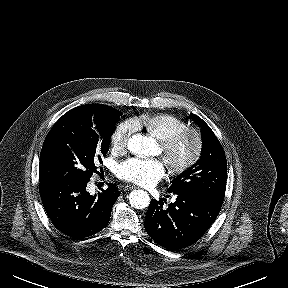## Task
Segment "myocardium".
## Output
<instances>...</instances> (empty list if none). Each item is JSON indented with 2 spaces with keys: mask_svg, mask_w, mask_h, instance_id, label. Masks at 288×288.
<instances>
[{
  "mask_svg": "<svg viewBox=\"0 0 288 288\" xmlns=\"http://www.w3.org/2000/svg\"><path fill=\"white\" fill-rule=\"evenodd\" d=\"M190 137L193 139V149L190 155L185 159L175 157V148L178 143ZM162 154L169 170L173 174H180L191 168L199 160L203 150V137L201 132L192 126H185L166 137L160 139Z\"/></svg>",
  "mask_w": 288,
  "mask_h": 288,
  "instance_id": "f54148a6",
  "label": "myocardium"
}]
</instances>
